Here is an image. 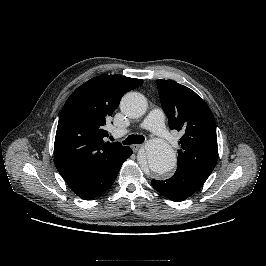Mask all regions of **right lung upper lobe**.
I'll return each mask as SVG.
<instances>
[{"label":"right lung upper lobe","instance_id":"right-lung-upper-lobe-1","mask_svg":"<svg viewBox=\"0 0 266 266\" xmlns=\"http://www.w3.org/2000/svg\"><path fill=\"white\" fill-rule=\"evenodd\" d=\"M142 82L125 76H97L70 95L59 117L54 144V162L62 177L116 158L127 148L103 141L108 136L105 124L122 96Z\"/></svg>","mask_w":266,"mask_h":266}]
</instances>
